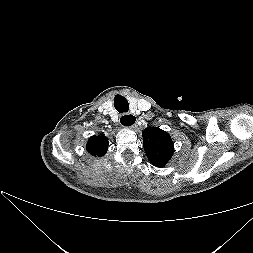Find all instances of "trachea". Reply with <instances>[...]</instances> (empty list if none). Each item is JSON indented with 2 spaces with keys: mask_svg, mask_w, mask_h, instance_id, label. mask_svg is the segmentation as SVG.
<instances>
[{
  "mask_svg": "<svg viewBox=\"0 0 253 253\" xmlns=\"http://www.w3.org/2000/svg\"><path fill=\"white\" fill-rule=\"evenodd\" d=\"M114 107L119 113H126L129 110V103L123 96L117 95L114 99Z\"/></svg>",
  "mask_w": 253,
  "mask_h": 253,
  "instance_id": "3493384b",
  "label": "trachea"
}]
</instances>
